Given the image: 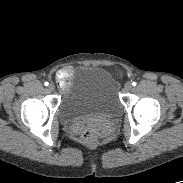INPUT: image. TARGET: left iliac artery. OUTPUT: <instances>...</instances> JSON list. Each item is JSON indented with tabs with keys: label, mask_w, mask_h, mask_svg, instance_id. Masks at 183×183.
<instances>
[{
	"label": "left iliac artery",
	"mask_w": 183,
	"mask_h": 183,
	"mask_svg": "<svg viewBox=\"0 0 183 183\" xmlns=\"http://www.w3.org/2000/svg\"><path fill=\"white\" fill-rule=\"evenodd\" d=\"M132 85H133V86H136V85H137V83H136V82H132Z\"/></svg>",
	"instance_id": "1"
}]
</instances>
